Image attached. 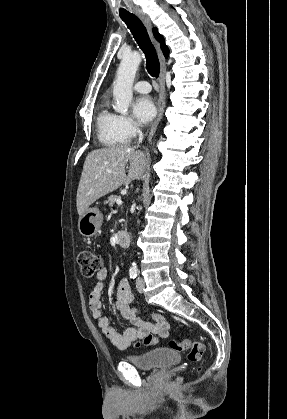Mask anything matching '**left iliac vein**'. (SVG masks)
Listing matches in <instances>:
<instances>
[{
	"label": "left iliac vein",
	"instance_id": "left-iliac-vein-1",
	"mask_svg": "<svg viewBox=\"0 0 287 419\" xmlns=\"http://www.w3.org/2000/svg\"><path fill=\"white\" fill-rule=\"evenodd\" d=\"M136 288L138 292L142 293L144 289V280L143 278L139 277L136 282Z\"/></svg>",
	"mask_w": 287,
	"mask_h": 419
}]
</instances>
